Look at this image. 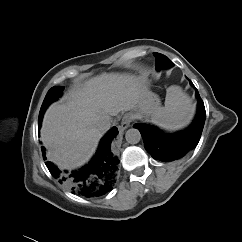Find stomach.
Wrapping results in <instances>:
<instances>
[{"label":"stomach","mask_w":242,"mask_h":242,"mask_svg":"<svg viewBox=\"0 0 242 242\" xmlns=\"http://www.w3.org/2000/svg\"><path fill=\"white\" fill-rule=\"evenodd\" d=\"M140 84L142 89L146 92L145 101H147L149 108L153 111L159 105V98L148 90L146 81L142 80Z\"/></svg>","instance_id":"1"}]
</instances>
